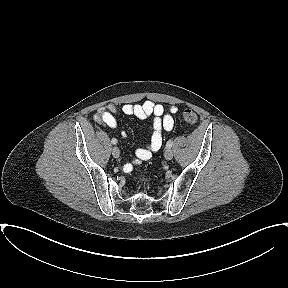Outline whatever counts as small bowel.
<instances>
[{
	"instance_id": "small-bowel-1",
	"label": "small bowel",
	"mask_w": 288,
	"mask_h": 288,
	"mask_svg": "<svg viewBox=\"0 0 288 288\" xmlns=\"http://www.w3.org/2000/svg\"><path fill=\"white\" fill-rule=\"evenodd\" d=\"M119 110L125 115L134 116L139 119H145L149 116L153 117L152 135L148 145L139 147L135 151V163L145 161L158 152L163 144V132H170L175 124L173 115L177 112L175 105H170L168 111L161 104H156L152 101H145L142 104H125L121 109L115 104H108L102 107L95 114L94 119L96 122L103 124L111 129L117 127L115 115ZM125 137V133H122ZM127 167V166H125Z\"/></svg>"
}]
</instances>
